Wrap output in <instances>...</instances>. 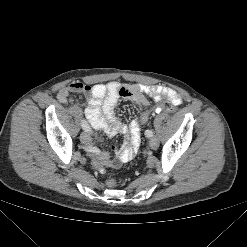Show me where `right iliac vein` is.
Segmentation results:
<instances>
[{
    "instance_id": "right-iliac-vein-1",
    "label": "right iliac vein",
    "mask_w": 247,
    "mask_h": 247,
    "mask_svg": "<svg viewBox=\"0 0 247 247\" xmlns=\"http://www.w3.org/2000/svg\"><path fill=\"white\" fill-rule=\"evenodd\" d=\"M80 140L83 144L91 143V136L87 131H84L80 134Z\"/></svg>"
}]
</instances>
